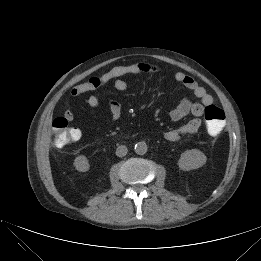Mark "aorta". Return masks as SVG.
<instances>
[{
	"instance_id": "obj_1",
	"label": "aorta",
	"mask_w": 261,
	"mask_h": 261,
	"mask_svg": "<svg viewBox=\"0 0 261 261\" xmlns=\"http://www.w3.org/2000/svg\"><path fill=\"white\" fill-rule=\"evenodd\" d=\"M135 153L138 155H144L146 154L148 147L145 142H138L135 144Z\"/></svg>"
}]
</instances>
